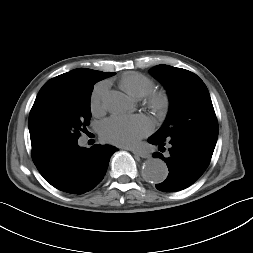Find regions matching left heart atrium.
<instances>
[{
    "label": "left heart atrium",
    "instance_id": "left-heart-atrium-1",
    "mask_svg": "<svg viewBox=\"0 0 253 253\" xmlns=\"http://www.w3.org/2000/svg\"><path fill=\"white\" fill-rule=\"evenodd\" d=\"M152 130V121L144 115L112 116L100 125L102 137L120 146H133Z\"/></svg>",
    "mask_w": 253,
    "mask_h": 253
}]
</instances>
